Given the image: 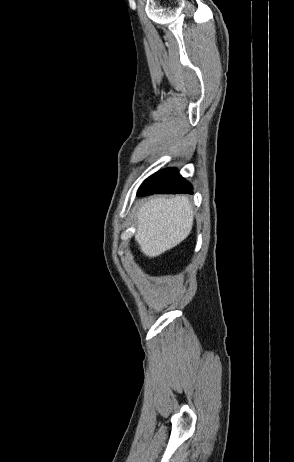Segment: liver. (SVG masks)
Here are the masks:
<instances>
[{"label": "liver", "mask_w": 294, "mask_h": 462, "mask_svg": "<svg viewBox=\"0 0 294 462\" xmlns=\"http://www.w3.org/2000/svg\"><path fill=\"white\" fill-rule=\"evenodd\" d=\"M194 211L186 196L153 198L137 212L135 240L153 258L177 246L190 234Z\"/></svg>", "instance_id": "1"}]
</instances>
